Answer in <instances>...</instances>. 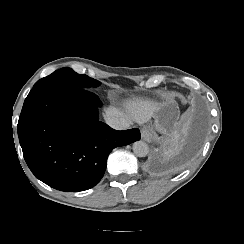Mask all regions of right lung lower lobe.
Segmentation results:
<instances>
[{
	"label": "right lung lower lobe",
	"mask_w": 244,
	"mask_h": 244,
	"mask_svg": "<svg viewBox=\"0 0 244 244\" xmlns=\"http://www.w3.org/2000/svg\"><path fill=\"white\" fill-rule=\"evenodd\" d=\"M101 105L93 92L68 85L30 91L17 130L24 159L39 180L61 191L90 189L115 147L140 140L137 128L117 131L100 122Z\"/></svg>",
	"instance_id": "right-lung-lower-lobe-1"
}]
</instances>
